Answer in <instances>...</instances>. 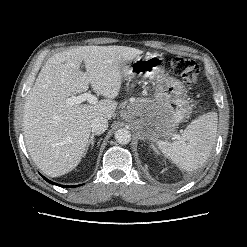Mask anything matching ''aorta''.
Masks as SVG:
<instances>
[{"label": "aorta", "mask_w": 247, "mask_h": 247, "mask_svg": "<svg viewBox=\"0 0 247 247\" xmlns=\"http://www.w3.org/2000/svg\"><path fill=\"white\" fill-rule=\"evenodd\" d=\"M115 139L119 144H128L131 141V133L127 129H118L115 132Z\"/></svg>", "instance_id": "obj_1"}]
</instances>
